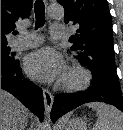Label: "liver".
I'll return each mask as SVG.
<instances>
[{"mask_svg":"<svg viewBox=\"0 0 123 130\" xmlns=\"http://www.w3.org/2000/svg\"><path fill=\"white\" fill-rule=\"evenodd\" d=\"M30 116L20 101L1 89V130H22Z\"/></svg>","mask_w":123,"mask_h":130,"instance_id":"obj_1","label":"liver"}]
</instances>
